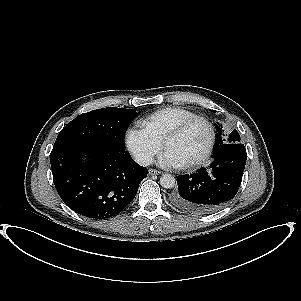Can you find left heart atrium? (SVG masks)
<instances>
[{
	"label": "left heart atrium",
	"instance_id": "obj_1",
	"mask_svg": "<svg viewBox=\"0 0 301 301\" xmlns=\"http://www.w3.org/2000/svg\"><path fill=\"white\" fill-rule=\"evenodd\" d=\"M159 164L163 167L180 169L186 166V162L170 150H166L159 158Z\"/></svg>",
	"mask_w": 301,
	"mask_h": 301
}]
</instances>
